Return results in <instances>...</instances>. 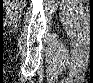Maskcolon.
Returning <instances> with one entry per match:
<instances>
[{
  "label": "colon",
  "instance_id": "colon-1",
  "mask_svg": "<svg viewBox=\"0 0 93 83\" xmlns=\"http://www.w3.org/2000/svg\"><path fill=\"white\" fill-rule=\"evenodd\" d=\"M24 2H20V1H8L6 2L5 4H9V5H19V4H22Z\"/></svg>",
  "mask_w": 93,
  "mask_h": 83
}]
</instances>
